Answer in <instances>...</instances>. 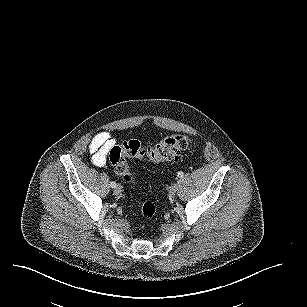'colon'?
I'll return each instance as SVG.
<instances>
[{"mask_svg":"<svg viewBox=\"0 0 307 307\" xmlns=\"http://www.w3.org/2000/svg\"><path fill=\"white\" fill-rule=\"evenodd\" d=\"M190 144L191 139L183 134L167 136L160 142L148 146L142 145L137 140H129L110 149L109 161L115 171L122 175L127 182H133L135 178L129 169V159L136 158L155 163L166 162L176 158ZM136 205L145 220H150L155 215L156 206L147 198L137 199Z\"/></svg>","mask_w":307,"mask_h":307,"instance_id":"1","label":"colon"}]
</instances>
